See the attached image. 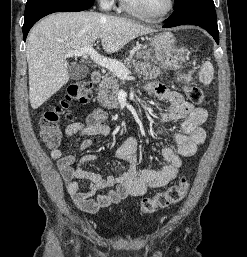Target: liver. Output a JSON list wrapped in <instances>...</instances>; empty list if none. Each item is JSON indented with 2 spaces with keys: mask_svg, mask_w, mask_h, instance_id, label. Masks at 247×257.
Wrapping results in <instances>:
<instances>
[{
  "mask_svg": "<svg viewBox=\"0 0 247 257\" xmlns=\"http://www.w3.org/2000/svg\"><path fill=\"white\" fill-rule=\"evenodd\" d=\"M153 32L129 19L96 12H66L47 16L27 39L29 100L37 109L69 80L67 51L101 40L108 54L119 51L132 39Z\"/></svg>",
  "mask_w": 247,
  "mask_h": 257,
  "instance_id": "1",
  "label": "liver"
}]
</instances>
